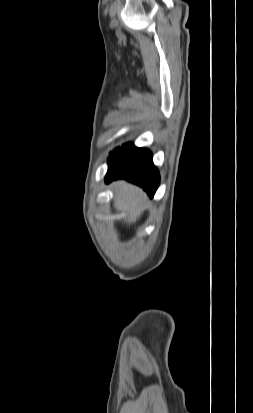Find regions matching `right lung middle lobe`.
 I'll use <instances>...</instances> for the list:
<instances>
[{"mask_svg": "<svg viewBox=\"0 0 253 413\" xmlns=\"http://www.w3.org/2000/svg\"><path fill=\"white\" fill-rule=\"evenodd\" d=\"M131 145H132V143H128V144L123 145L122 148H117L113 153L110 154V156L111 157L114 156L115 154L121 152L122 150H124L128 147H130Z\"/></svg>", "mask_w": 253, "mask_h": 413, "instance_id": "1", "label": "right lung middle lobe"}]
</instances>
